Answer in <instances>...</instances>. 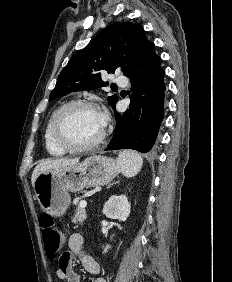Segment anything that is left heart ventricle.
I'll list each match as a JSON object with an SVG mask.
<instances>
[{
  "label": "left heart ventricle",
  "instance_id": "obj_1",
  "mask_svg": "<svg viewBox=\"0 0 232 282\" xmlns=\"http://www.w3.org/2000/svg\"><path fill=\"white\" fill-rule=\"evenodd\" d=\"M103 125L98 111L77 106L67 110L59 124V134L67 142L75 145L88 144L101 134Z\"/></svg>",
  "mask_w": 232,
  "mask_h": 282
}]
</instances>
